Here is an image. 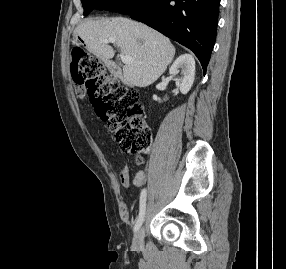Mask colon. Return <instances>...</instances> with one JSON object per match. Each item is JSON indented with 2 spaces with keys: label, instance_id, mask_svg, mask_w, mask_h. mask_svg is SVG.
I'll return each instance as SVG.
<instances>
[{
  "label": "colon",
  "instance_id": "5ec220e1",
  "mask_svg": "<svg viewBox=\"0 0 286 269\" xmlns=\"http://www.w3.org/2000/svg\"><path fill=\"white\" fill-rule=\"evenodd\" d=\"M70 55L76 86L87 89L97 116L114 132L121 149L134 154L137 162H141L152 135L142 118L138 94L112 79L104 63L81 45H73Z\"/></svg>",
  "mask_w": 286,
  "mask_h": 269
}]
</instances>
